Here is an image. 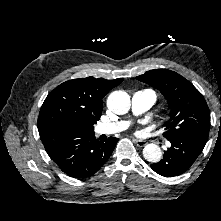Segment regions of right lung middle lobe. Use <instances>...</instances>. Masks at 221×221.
<instances>
[{
    "mask_svg": "<svg viewBox=\"0 0 221 221\" xmlns=\"http://www.w3.org/2000/svg\"><path fill=\"white\" fill-rule=\"evenodd\" d=\"M64 129L76 131V132H83V133H93L94 127L93 125H84L78 122L67 124L63 127Z\"/></svg>",
    "mask_w": 221,
    "mask_h": 221,
    "instance_id": "right-lung-middle-lobe-1",
    "label": "right lung middle lobe"
}]
</instances>
